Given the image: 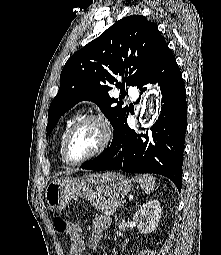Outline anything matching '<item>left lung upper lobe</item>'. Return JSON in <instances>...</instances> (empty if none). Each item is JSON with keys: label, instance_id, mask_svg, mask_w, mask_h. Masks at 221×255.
<instances>
[{"label": "left lung upper lobe", "instance_id": "obj_1", "mask_svg": "<svg viewBox=\"0 0 221 255\" xmlns=\"http://www.w3.org/2000/svg\"><path fill=\"white\" fill-rule=\"evenodd\" d=\"M167 46L154 23L133 15L122 18L74 53L63 67L58 94L50 104L46 136L60 117L82 100L95 102L115 130L129 108L111 98L108 91L115 85L123 94L125 83L141 88ZM118 76L123 79L122 86Z\"/></svg>", "mask_w": 221, "mask_h": 255}]
</instances>
